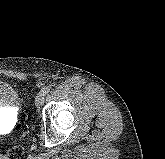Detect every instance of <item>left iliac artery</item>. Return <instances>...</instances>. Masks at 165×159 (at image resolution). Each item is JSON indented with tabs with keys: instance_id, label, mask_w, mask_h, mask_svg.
Instances as JSON below:
<instances>
[{
	"instance_id": "1",
	"label": "left iliac artery",
	"mask_w": 165,
	"mask_h": 159,
	"mask_svg": "<svg viewBox=\"0 0 165 159\" xmlns=\"http://www.w3.org/2000/svg\"><path fill=\"white\" fill-rule=\"evenodd\" d=\"M51 90V86H46L42 89V91L45 93V94H48Z\"/></svg>"
}]
</instances>
